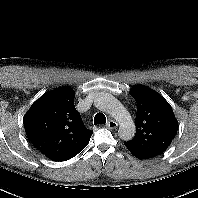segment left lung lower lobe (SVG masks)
Wrapping results in <instances>:
<instances>
[{
    "instance_id": "left-lung-lower-lobe-1",
    "label": "left lung lower lobe",
    "mask_w": 198,
    "mask_h": 198,
    "mask_svg": "<svg viewBox=\"0 0 198 198\" xmlns=\"http://www.w3.org/2000/svg\"><path fill=\"white\" fill-rule=\"evenodd\" d=\"M129 151L132 153V155H134L136 158L141 159V160L153 158V156L138 153V152H135L133 150H129Z\"/></svg>"
}]
</instances>
